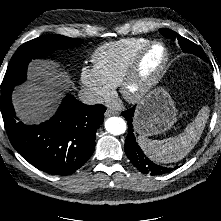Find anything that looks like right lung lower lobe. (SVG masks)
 Wrapping results in <instances>:
<instances>
[{
  "instance_id": "1",
  "label": "right lung lower lobe",
  "mask_w": 221,
  "mask_h": 221,
  "mask_svg": "<svg viewBox=\"0 0 221 221\" xmlns=\"http://www.w3.org/2000/svg\"><path fill=\"white\" fill-rule=\"evenodd\" d=\"M13 87L1 90V112L11 144L36 168L52 175H70L91 157L96 131L106 107L85 105L67 95L49 121L25 125L17 121L11 102Z\"/></svg>"
}]
</instances>
